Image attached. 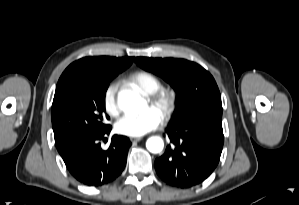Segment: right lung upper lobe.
Listing matches in <instances>:
<instances>
[{
	"mask_svg": "<svg viewBox=\"0 0 299 205\" xmlns=\"http://www.w3.org/2000/svg\"><path fill=\"white\" fill-rule=\"evenodd\" d=\"M133 59L134 57L116 58L99 56L85 57L73 62L66 68L58 81L53 104L69 78L75 76L94 78L118 75L132 64Z\"/></svg>",
	"mask_w": 299,
	"mask_h": 205,
	"instance_id": "right-lung-upper-lobe-1",
	"label": "right lung upper lobe"
}]
</instances>
